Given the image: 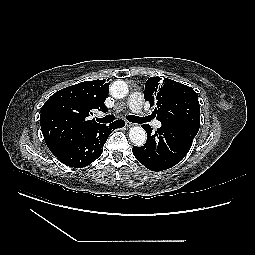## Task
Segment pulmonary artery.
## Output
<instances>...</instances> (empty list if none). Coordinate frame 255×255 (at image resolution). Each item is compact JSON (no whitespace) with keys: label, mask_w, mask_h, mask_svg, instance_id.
<instances>
[{"label":"pulmonary artery","mask_w":255,"mask_h":255,"mask_svg":"<svg viewBox=\"0 0 255 255\" xmlns=\"http://www.w3.org/2000/svg\"><path fill=\"white\" fill-rule=\"evenodd\" d=\"M143 95L140 92H132L127 100V107L131 109L133 112L138 114H143ZM155 129H158L161 127V123L158 121H155L153 124Z\"/></svg>","instance_id":"1"}]
</instances>
